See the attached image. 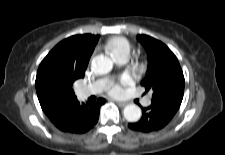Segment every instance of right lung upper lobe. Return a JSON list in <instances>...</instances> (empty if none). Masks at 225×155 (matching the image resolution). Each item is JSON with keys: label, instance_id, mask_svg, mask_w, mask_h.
Returning <instances> with one entry per match:
<instances>
[{"label": "right lung upper lobe", "instance_id": "right-lung-upper-lobe-1", "mask_svg": "<svg viewBox=\"0 0 225 155\" xmlns=\"http://www.w3.org/2000/svg\"><path fill=\"white\" fill-rule=\"evenodd\" d=\"M98 35H74L58 43L41 62L36 76V91L46 115L76 101L75 80L84 77Z\"/></svg>", "mask_w": 225, "mask_h": 155}]
</instances>
